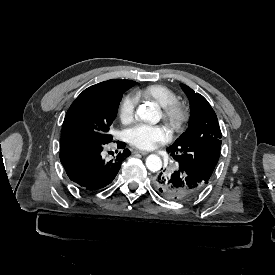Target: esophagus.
Wrapping results in <instances>:
<instances>
[{
    "label": "esophagus",
    "mask_w": 275,
    "mask_h": 275,
    "mask_svg": "<svg viewBox=\"0 0 275 275\" xmlns=\"http://www.w3.org/2000/svg\"><path fill=\"white\" fill-rule=\"evenodd\" d=\"M133 153L134 154H141V155H147L148 154V152L142 151V150H135Z\"/></svg>",
    "instance_id": "esophagus-1"
}]
</instances>
